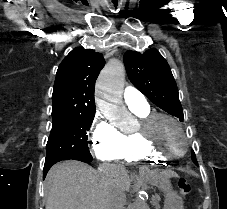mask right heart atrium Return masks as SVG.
<instances>
[{
	"mask_svg": "<svg viewBox=\"0 0 227 209\" xmlns=\"http://www.w3.org/2000/svg\"><path fill=\"white\" fill-rule=\"evenodd\" d=\"M92 152L100 160L118 158L123 145V133L111 122L98 118L91 130Z\"/></svg>",
	"mask_w": 227,
	"mask_h": 209,
	"instance_id": "1",
	"label": "right heart atrium"
}]
</instances>
